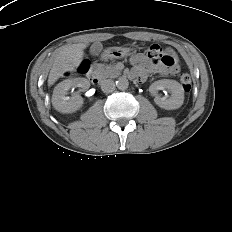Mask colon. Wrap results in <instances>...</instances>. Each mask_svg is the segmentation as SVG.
I'll return each instance as SVG.
<instances>
[{
	"instance_id": "obj_1",
	"label": "colon",
	"mask_w": 232,
	"mask_h": 232,
	"mask_svg": "<svg viewBox=\"0 0 232 232\" xmlns=\"http://www.w3.org/2000/svg\"><path fill=\"white\" fill-rule=\"evenodd\" d=\"M146 56L151 62L160 65L161 67L171 70L177 67L176 58L171 53L164 50L158 45L151 46L147 50ZM87 68H88V62L82 61L78 66V72L85 73ZM180 82L185 92H189L191 90L192 80L188 74L186 73L181 74Z\"/></svg>"
}]
</instances>
